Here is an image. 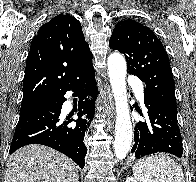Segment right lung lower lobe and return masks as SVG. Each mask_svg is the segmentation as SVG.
Instances as JSON below:
<instances>
[{
  "label": "right lung lower lobe",
  "mask_w": 196,
  "mask_h": 182,
  "mask_svg": "<svg viewBox=\"0 0 196 182\" xmlns=\"http://www.w3.org/2000/svg\"><path fill=\"white\" fill-rule=\"evenodd\" d=\"M69 90L80 97L76 110L79 117L77 120L61 116L62 104L66 101L64 94ZM95 94L98 92L91 64L38 107L20 113L9 154L28 144H42L67 155L82 169L87 153L84 137L88 132V123L81 116L86 114L88 119L93 117ZM88 95L92 99L84 100ZM73 121L76 125H69Z\"/></svg>",
  "instance_id": "obj_1"
}]
</instances>
